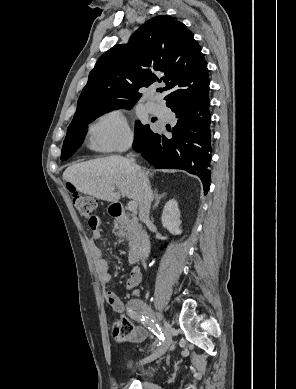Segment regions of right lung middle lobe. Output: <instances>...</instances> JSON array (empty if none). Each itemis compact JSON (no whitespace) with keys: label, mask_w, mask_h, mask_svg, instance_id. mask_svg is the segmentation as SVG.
<instances>
[{"label":"right lung middle lobe","mask_w":296,"mask_h":389,"mask_svg":"<svg viewBox=\"0 0 296 389\" xmlns=\"http://www.w3.org/2000/svg\"><path fill=\"white\" fill-rule=\"evenodd\" d=\"M128 108L132 106H109L91 108L75 116L67 129L66 138L63 142L61 160H67L80 147L86 133L87 124L95 120L100 115L115 108ZM152 130L149 125H144L140 121L136 122L135 139L133 147H141L151 136Z\"/></svg>","instance_id":"obj_1"}]
</instances>
